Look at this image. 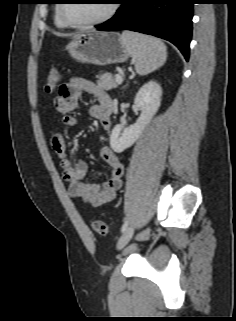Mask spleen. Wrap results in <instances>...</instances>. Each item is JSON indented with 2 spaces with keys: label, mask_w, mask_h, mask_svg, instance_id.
<instances>
[{
  "label": "spleen",
  "mask_w": 236,
  "mask_h": 321,
  "mask_svg": "<svg viewBox=\"0 0 236 321\" xmlns=\"http://www.w3.org/2000/svg\"><path fill=\"white\" fill-rule=\"evenodd\" d=\"M121 40L129 50L135 70L139 75H147L166 62L167 48L157 38L123 31Z\"/></svg>",
  "instance_id": "spleen-1"
}]
</instances>
